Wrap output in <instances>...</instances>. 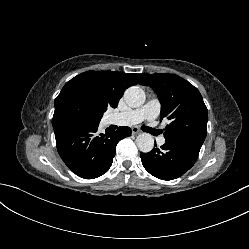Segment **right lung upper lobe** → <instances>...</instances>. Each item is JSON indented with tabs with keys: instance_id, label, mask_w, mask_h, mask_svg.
Instances as JSON below:
<instances>
[{
	"instance_id": "cb5924a9",
	"label": "right lung upper lobe",
	"mask_w": 249,
	"mask_h": 249,
	"mask_svg": "<svg viewBox=\"0 0 249 249\" xmlns=\"http://www.w3.org/2000/svg\"><path fill=\"white\" fill-rule=\"evenodd\" d=\"M145 74L122 73L114 71H87L68 81L62 92L80 91L89 95L100 112L107 107L116 108L124 91L142 83Z\"/></svg>"
}]
</instances>
